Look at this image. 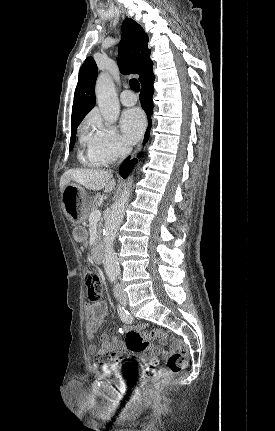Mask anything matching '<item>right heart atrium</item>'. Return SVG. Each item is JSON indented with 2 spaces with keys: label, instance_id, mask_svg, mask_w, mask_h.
<instances>
[{
  "label": "right heart atrium",
  "instance_id": "1",
  "mask_svg": "<svg viewBox=\"0 0 275 431\" xmlns=\"http://www.w3.org/2000/svg\"><path fill=\"white\" fill-rule=\"evenodd\" d=\"M81 143L86 148L88 160L101 164L114 162L128 150L116 128L95 114L85 122Z\"/></svg>",
  "mask_w": 275,
  "mask_h": 431
}]
</instances>
